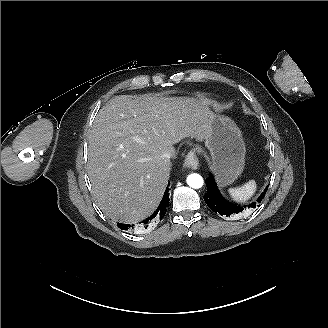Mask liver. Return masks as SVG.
<instances>
[{"instance_id": "liver-1", "label": "liver", "mask_w": 328, "mask_h": 328, "mask_svg": "<svg viewBox=\"0 0 328 328\" xmlns=\"http://www.w3.org/2000/svg\"><path fill=\"white\" fill-rule=\"evenodd\" d=\"M208 102L159 94L119 95L95 117L88 146V176L100 209L114 221L135 224L159 206L185 138L203 141Z\"/></svg>"}]
</instances>
